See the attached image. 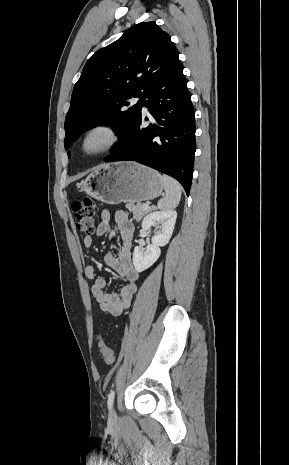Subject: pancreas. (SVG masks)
<instances>
[{
	"instance_id": "1",
	"label": "pancreas",
	"mask_w": 289,
	"mask_h": 465,
	"mask_svg": "<svg viewBox=\"0 0 289 465\" xmlns=\"http://www.w3.org/2000/svg\"><path fill=\"white\" fill-rule=\"evenodd\" d=\"M126 208L132 212L136 221H140L143 216L149 212V209H144L141 203H137L136 205L133 203H127Z\"/></svg>"
}]
</instances>
